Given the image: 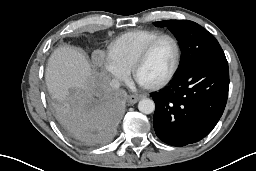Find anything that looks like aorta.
I'll use <instances>...</instances> for the list:
<instances>
[{
  "mask_svg": "<svg viewBox=\"0 0 256 171\" xmlns=\"http://www.w3.org/2000/svg\"><path fill=\"white\" fill-rule=\"evenodd\" d=\"M138 109L143 114H151L155 110V103L151 99H142L138 103Z\"/></svg>",
  "mask_w": 256,
  "mask_h": 171,
  "instance_id": "obj_1",
  "label": "aorta"
}]
</instances>
